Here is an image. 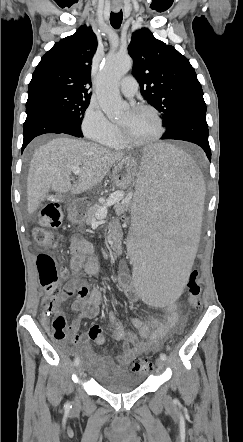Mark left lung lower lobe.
<instances>
[{
  "mask_svg": "<svg viewBox=\"0 0 243 442\" xmlns=\"http://www.w3.org/2000/svg\"><path fill=\"white\" fill-rule=\"evenodd\" d=\"M206 104L194 105L184 109L166 128L161 139L184 140L199 145L211 160L206 122Z\"/></svg>",
  "mask_w": 243,
  "mask_h": 442,
  "instance_id": "left-lung-lower-lobe-1",
  "label": "left lung lower lobe"
}]
</instances>
